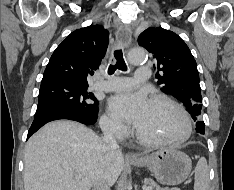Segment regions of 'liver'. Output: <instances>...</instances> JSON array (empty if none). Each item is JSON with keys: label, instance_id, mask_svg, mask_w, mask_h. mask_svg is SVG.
Segmentation results:
<instances>
[{"label": "liver", "instance_id": "6515ba94", "mask_svg": "<svg viewBox=\"0 0 234 190\" xmlns=\"http://www.w3.org/2000/svg\"><path fill=\"white\" fill-rule=\"evenodd\" d=\"M24 164L25 190H90L100 178L113 185L124 168V157L86 126L59 120L28 140Z\"/></svg>", "mask_w": 234, "mask_h": 190}]
</instances>
